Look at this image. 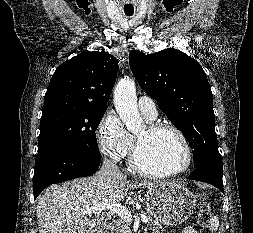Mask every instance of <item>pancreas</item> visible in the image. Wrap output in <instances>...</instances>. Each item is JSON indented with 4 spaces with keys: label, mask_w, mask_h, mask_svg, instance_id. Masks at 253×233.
Segmentation results:
<instances>
[{
    "label": "pancreas",
    "mask_w": 253,
    "mask_h": 233,
    "mask_svg": "<svg viewBox=\"0 0 253 233\" xmlns=\"http://www.w3.org/2000/svg\"><path fill=\"white\" fill-rule=\"evenodd\" d=\"M148 223L146 228L148 230H151L152 233H163L164 228L162 227V224L152 220L150 216H148ZM112 233H131L130 226L127 222H125L123 219L119 218L114 222V225L112 226Z\"/></svg>",
    "instance_id": "1"
}]
</instances>
